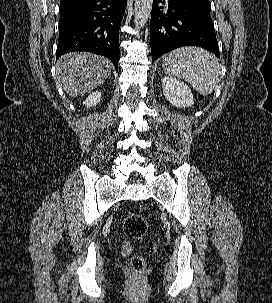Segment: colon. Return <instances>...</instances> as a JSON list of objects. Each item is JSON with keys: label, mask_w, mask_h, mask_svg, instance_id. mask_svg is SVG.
<instances>
[{"label": "colon", "mask_w": 272, "mask_h": 303, "mask_svg": "<svg viewBox=\"0 0 272 303\" xmlns=\"http://www.w3.org/2000/svg\"><path fill=\"white\" fill-rule=\"evenodd\" d=\"M148 228L146 219L139 214H129L123 221V230L126 236L132 239L142 238ZM130 269L134 277H140L145 270V260L140 255H133L130 260Z\"/></svg>", "instance_id": "obj_1"}]
</instances>
